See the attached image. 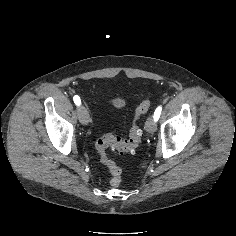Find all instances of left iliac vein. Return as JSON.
<instances>
[{"label": "left iliac vein", "instance_id": "4c4485c4", "mask_svg": "<svg viewBox=\"0 0 236 236\" xmlns=\"http://www.w3.org/2000/svg\"><path fill=\"white\" fill-rule=\"evenodd\" d=\"M145 129L148 133H154L156 131V122L153 117H149L145 123Z\"/></svg>", "mask_w": 236, "mask_h": 236}]
</instances>
